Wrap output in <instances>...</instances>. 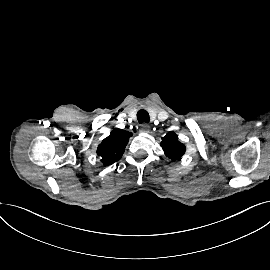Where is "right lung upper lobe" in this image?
Here are the masks:
<instances>
[{"label": "right lung upper lobe", "instance_id": "right-lung-upper-lobe-1", "mask_svg": "<svg viewBox=\"0 0 270 270\" xmlns=\"http://www.w3.org/2000/svg\"><path fill=\"white\" fill-rule=\"evenodd\" d=\"M131 136L132 133L128 131L118 128L113 129L97 148V154L101 158V162L108 166L119 161Z\"/></svg>", "mask_w": 270, "mask_h": 270}]
</instances>
